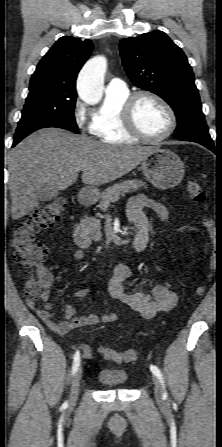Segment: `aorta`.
Instances as JSON below:
<instances>
[{"label": "aorta", "mask_w": 222, "mask_h": 447, "mask_svg": "<svg viewBox=\"0 0 222 447\" xmlns=\"http://www.w3.org/2000/svg\"><path fill=\"white\" fill-rule=\"evenodd\" d=\"M107 60L96 56L88 60L78 76L77 89L79 97L87 104L95 105L101 101Z\"/></svg>", "instance_id": "1"}]
</instances>
